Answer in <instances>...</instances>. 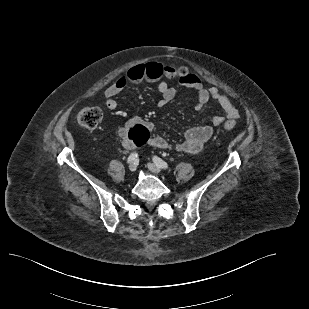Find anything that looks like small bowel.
Segmentation results:
<instances>
[{"mask_svg": "<svg viewBox=\"0 0 309 309\" xmlns=\"http://www.w3.org/2000/svg\"><path fill=\"white\" fill-rule=\"evenodd\" d=\"M174 78L175 74L172 68L164 67L157 62L139 64L129 68L126 73L109 85L105 91V105L110 110L117 108L115 97L127 86L128 83H140L149 81L156 83V89L161 95V104H166L173 100L179 93L181 88H188L196 93L197 103L196 109L201 110L209 101H216L223 109V115L213 116L209 124L194 126L186 130L184 140L172 147L165 138L161 136H151L150 130L152 125L144 122L140 118L134 117L130 119L125 126L119 130L122 144L125 149L132 150L135 148L134 143L129 138V129L135 125H143L149 131L147 144L158 149H171L191 154L199 153L204 145L212 138L214 128L222 125L226 120L235 122L239 117V111L234 106L227 95L220 92L218 88L211 86L205 87L202 80L194 75L189 74L185 79H179L175 86L169 85L162 78Z\"/></svg>", "mask_w": 309, "mask_h": 309, "instance_id": "1", "label": "small bowel"}]
</instances>
